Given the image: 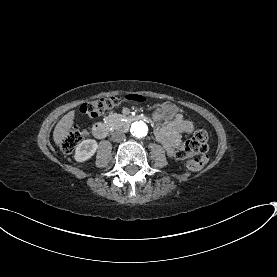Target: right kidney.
<instances>
[{
    "label": "right kidney",
    "mask_w": 277,
    "mask_h": 277,
    "mask_svg": "<svg viewBox=\"0 0 277 277\" xmlns=\"http://www.w3.org/2000/svg\"><path fill=\"white\" fill-rule=\"evenodd\" d=\"M98 150V143L94 139L83 140L76 146L74 160L82 163L90 160Z\"/></svg>",
    "instance_id": "right-kidney-1"
}]
</instances>
